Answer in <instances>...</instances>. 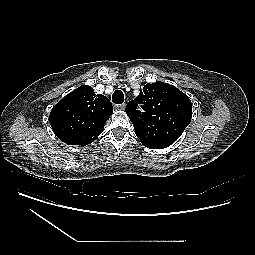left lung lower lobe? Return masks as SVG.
Returning a JSON list of instances; mask_svg holds the SVG:
<instances>
[{"mask_svg":"<svg viewBox=\"0 0 255 255\" xmlns=\"http://www.w3.org/2000/svg\"><path fill=\"white\" fill-rule=\"evenodd\" d=\"M173 144V142H158L152 144H145L146 147L150 149H163Z\"/></svg>","mask_w":255,"mask_h":255,"instance_id":"0a47b994","label":"left lung lower lobe"}]
</instances>
